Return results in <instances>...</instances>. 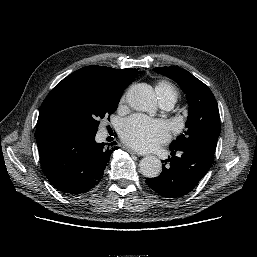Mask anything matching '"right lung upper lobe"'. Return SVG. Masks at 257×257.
<instances>
[{"instance_id":"cb5924a9","label":"right lung upper lobe","mask_w":257,"mask_h":257,"mask_svg":"<svg viewBox=\"0 0 257 257\" xmlns=\"http://www.w3.org/2000/svg\"><path fill=\"white\" fill-rule=\"evenodd\" d=\"M130 69L86 66L59 82L41 105L35 133L37 145L50 137L69 131L58 110L60 96L67 85L75 81L87 80L102 89L123 92L125 87L133 82L129 77Z\"/></svg>"}]
</instances>
